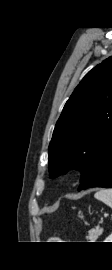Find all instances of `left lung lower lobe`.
<instances>
[{
    "mask_svg": "<svg viewBox=\"0 0 112 270\" xmlns=\"http://www.w3.org/2000/svg\"><path fill=\"white\" fill-rule=\"evenodd\" d=\"M91 187L112 188V146L104 153L98 169L79 186V191Z\"/></svg>",
    "mask_w": 112,
    "mask_h": 270,
    "instance_id": "left-lung-lower-lobe-1",
    "label": "left lung lower lobe"
}]
</instances>
